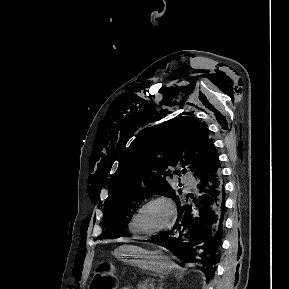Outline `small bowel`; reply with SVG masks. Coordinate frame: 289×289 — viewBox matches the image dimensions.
Listing matches in <instances>:
<instances>
[{
    "mask_svg": "<svg viewBox=\"0 0 289 289\" xmlns=\"http://www.w3.org/2000/svg\"><path fill=\"white\" fill-rule=\"evenodd\" d=\"M121 289H130L129 287L121 288Z\"/></svg>",
    "mask_w": 289,
    "mask_h": 289,
    "instance_id": "1",
    "label": "small bowel"
}]
</instances>
